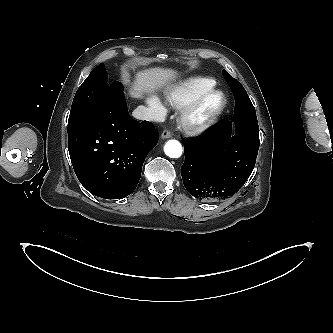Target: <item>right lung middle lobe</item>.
Masks as SVG:
<instances>
[{
    "instance_id": "right-lung-middle-lobe-1",
    "label": "right lung middle lobe",
    "mask_w": 333,
    "mask_h": 333,
    "mask_svg": "<svg viewBox=\"0 0 333 333\" xmlns=\"http://www.w3.org/2000/svg\"><path fill=\"white\" fill-rule=\"evenodd\" d=\"M114 84L108 82L104 64L94 68L76 92L69 115L68 132L81 127L95 114Z\"/></svg>"
}]
</instances>
